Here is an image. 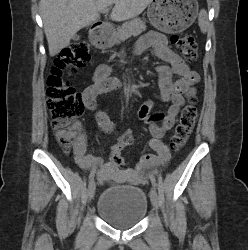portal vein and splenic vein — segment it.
<instances>
[{"mask_svg":"<svg viewBox=\"0 0 248 250\" xmlns=\"http://www.w3.org/2000/svg\"><path fill=\"white\" fill-rule=\"evenodd\" d=\"M109 9L108 8H105V9H102L100 12L103 13V14H106L108 13Z\"/></svg>","mask_w":248,"mask_h":250,"instance_id":"obj_1","label":"portal vein and splenic vein"}]
</instances>
